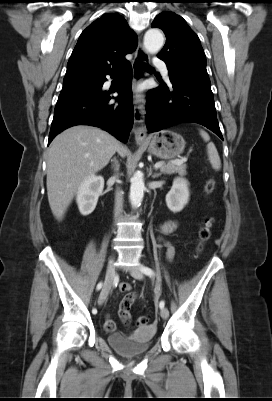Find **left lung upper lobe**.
I'll return each instance as SVG.
<instances>
[{"label": "left lung upper lobe", "mask_w": 272, "mask_h": 401, "mask_svg": "<svg viewBox=\"0 0 272 401\" xmlns=\"http://www.w3.org/2000/svg\"><path fill=\"white\" fill-rule=\"evenodd\" d=\"M152 27L162 29L167 37L158 58L166 63L169 76L210 84L200 40L181 16L162 12L154 19Z\"/></svg>", "instance_id": "1"}]
</instances>
